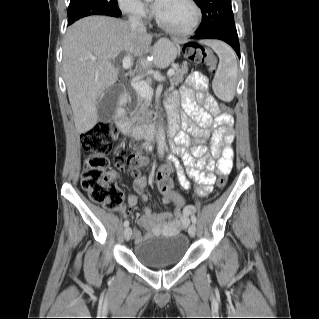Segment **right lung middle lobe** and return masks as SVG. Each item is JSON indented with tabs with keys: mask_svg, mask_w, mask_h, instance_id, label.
<instances>
[{
	"mask_svg": "<svg viewBox=\"0 0 319 319\" xmlns=\"http://www.w3.org/2000/svg\"><path fill=\"white\" fill-rule=\"evenodd\" d=\"M120 10L117 0H71L68 7V24L90 15H112Z\"/></svg>",
	"mask_w": 319,
	"mask_h": 319,
	"instance_id": "1",
	"label": "right lung middle lobe"
}]
</instances>
